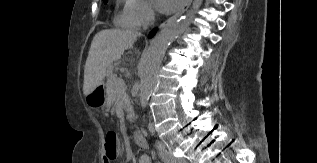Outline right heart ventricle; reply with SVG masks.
I'll use <instances>...</instances> for the list:
<instances>
[{"label":"right heart ventricle","instance_id":"obj_1","mask_svg":"<svg viewBox=\"0 0 317 163\" xmlns=\"http://www.w3.org/2000/svg\"><path fill=\"white\" fill-rule=\"evenodd\" d=\"M118 3H121L123 8L122 10L116 15L115 23L118 26L126 27V28H137L139 27L137 24L134 23L131 13H130V6L133 3V0H117Z\"/></svg>","mask_w":317,"mask_h":163}]
</instances>
